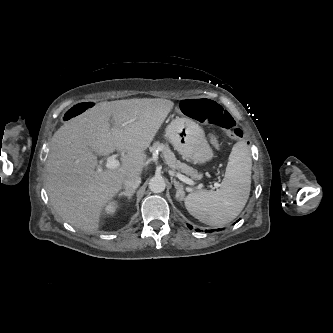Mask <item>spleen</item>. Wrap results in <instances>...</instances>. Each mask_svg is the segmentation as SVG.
<instances>
[{
    "label": "spleen",
    "mask_w": 333,
    "mask_h": 333,
    "mask_svg": "<svg viewBox=\"0 0 333 333\" xmlns=\"http://www.w3.org/2000/svg\"><path fill=\"white\" fill-rule=\"evenodd\" d=\"M251 152L245 142L236 143L229 155L224 179L217 191L199 190L184 199L187 211L199 221L226 225L245 207L251 187Z\"/></svg>",
    "instance_id": "obj_1"
}]
</instances>
